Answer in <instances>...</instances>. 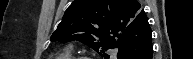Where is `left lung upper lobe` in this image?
Masks as SVG:
<instances>
[{
	"instance_id": "left-lung-upper-lobe-1",
	"label": "left lung upper lobe",
	"mask_w": 193,
	"mask_h": 59,
	"mask_svg": "<svg viewBox=\"0 0 193 59\" xmlns=\"http://www.w3.org/2000/svg\"><path fill=\"white\" fill-rule=\"evenodd\" d=\"M142 14L136 0H74L51 40H78L108 59L105 52L115 47L121 34Z\"/></svg>"
}]
</instances>
